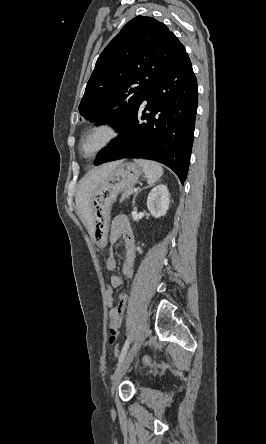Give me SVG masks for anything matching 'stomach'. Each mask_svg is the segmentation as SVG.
Instances as JSON below:
<instances>
[{
  "mask_svg": "<svg viewBox=\"0 0 266 444\" xmlns=\"http://www.w3.org/2000/svg\"><path fill=\"white\" fill-rule=\"evenodd\" d=\"M142 168L133 162H120L95 189L90 201L93 237L100 244L109 227V212L118 194L133 187L141 176Z\"/></svg>",
  "mask_w": 266,
  "mask_h": 444,
  "instance_id": "stomach-1",
  "label": "stomach"
}]
</instances>
